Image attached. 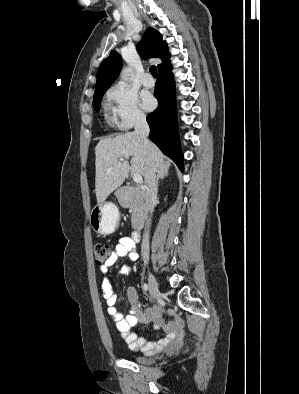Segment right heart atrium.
Returning <instances> with one entry per match:
<instances>
[{
	"mask_svg": "<svg viewBox=\"0 0 299 394\" xmlns=\"http://www.w3.org/2000/svg\"><path fill=\"white\" fill-rule=\"evenodd\" d=\"M107 106L113 115L114 124L121 130H128L145 121L136 93L121 83L109 89Z\"/></svg>",
	"mask_w": 299,
	"mask_h": 394,
	"instance_id": "right-heart-atrium-1",
	"label": "right heart atrium"
}]
</instances>
